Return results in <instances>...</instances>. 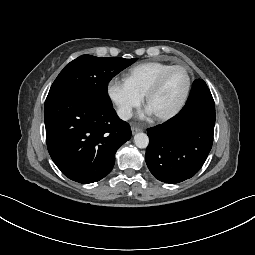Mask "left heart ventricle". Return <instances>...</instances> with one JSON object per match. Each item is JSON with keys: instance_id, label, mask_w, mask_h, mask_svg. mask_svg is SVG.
<instances>
[{"instance_id": "left-heart-ventricle-1", "label": "left heart ventricle", "mask_w": 255, "mask_h": 255, "mask_svg": "<svg viewBox=\"0 0 255 255\" xmlns=\"http://www.w3.org/2000/svg\"><path fill=\"white\" fill-rule=\"evenodd\" d=\"M187 86V74L176 69L166 78L160 91L149 101L148 108L154 115L171 111L180 101Z\"/></svg>"}]
</instances>
